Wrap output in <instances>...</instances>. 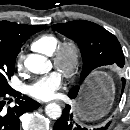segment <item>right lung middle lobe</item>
I'll return each instance as SVG.
<instances>
[{"mask_svg": "<svg viewBox=\"0 0 130 130\" xmlns=\"http://www.w3.org/2000/svg\"><path fill=\"white\" fill-rule=\"evenodd\" d=\"M44 28L45 26L43 25L36 26L28 33L25 40H27L30 35L39 32ZM20 48L21 45L14 46L10 43L0 41V87H10L8 80H10V77L14 74L15 61Z\"/></svg>", "mask_w": 130, "mask_h": 130, "instance_id": "obj_1", "label": "right lung middle lobe"}]
</instances>
